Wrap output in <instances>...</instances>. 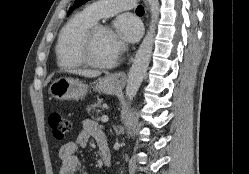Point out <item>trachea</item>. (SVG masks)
Instances as JSON below:
<instances>
[{
  "label": "trachea",
  "instance_id": "trachea-1",
  "mask_svg": "<svg viewBox=\"0 0 249 174\" xmlns=\"http://www.w3.org/2000/svg\"><path fill=\"white\" fill-rule=\"evenodd\" d=\"M136 13H144V8L142 5H139L136 9Z\"/></svg>",
  "mask_w": 249,
  "mask_h": 174
}]
</instances>
